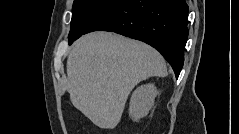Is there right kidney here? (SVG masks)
I'll return each instance as SVG.
<instances>
[{
	"label": "right kidney",
	"instance_id": "1",
	"mask_svg": "<svg viewBox=\"0 0 239 134\" xmlns=\"http://www.w3.org/2000/svg\"><path fill=\"white\" fill-rule=\"evenodd\" d=\"M156 95L157 89L153 84L142 85L133 92L129 107L132 120L138 121L149 113Z\"/></svg>",
	"mask_w": 239,
	"mask_h": 134
}]
</instances>
